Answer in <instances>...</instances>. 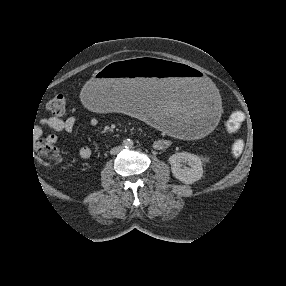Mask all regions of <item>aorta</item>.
I'll list each match as a JSON object with an SVG mask.
<instances>
[{
    "label": "aorta",
    "mask_w": 286,
    "mask_h": 286,
    "mask_svg": "<svg viewBox=\"0 0 286 286\" xmlns=\"http://www.w3.org/2000/svg\"><path fill=\"white\" fill-rule=\"evenodd\" d=\"M124 145L126 148H131L133 146V141L128 139L124 141Z\"/></svg>",
    "instance_id": "1"
}]
</instances>
